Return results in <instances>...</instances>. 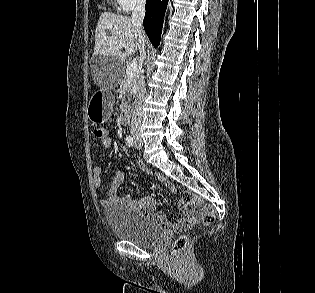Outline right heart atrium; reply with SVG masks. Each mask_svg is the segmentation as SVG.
<instances>
[{
  "label": "right heart atrium",
  "instance_id": "1",
  "mask_svg": "<svg viewBox=\"0 0 315 293\" xmlns=\"http://www.w3.org/2000/svg\"><path fill=\"white\" fill-rule=\"evenodd\" d=\"M145 0H116L119 8L125 12H129L134 9L137 5H140Z\"/></svg>",
  "mask_w": 315,
  "mask_h": 293
}]
</instances>
